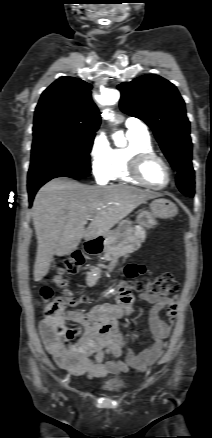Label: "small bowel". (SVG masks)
<instances>
[{"mask_svg":"<svg viewBox=\"0 0 212 438\" xmlns=\"http://www.w3.org/2000/svg\"><path fill=\"white\" fill-rule=\"evenodd\" d=\"M146 273L144 265L130 264L126 268L129 278L145 276ZM138 298L152 304L148 313L152 343L139 354L128 347L126 337L119 331V321L128 316L133 308L134 296L129 291L120 293L116 305L96 306L88 314L79 310L63 312L64 320L83 328L80 338L70 344L44 319L39 325L40 333L58 366L74 376L96 378L128 372L130 368L143 371L154 364L163 353L165 339L176 318L178 296L168 298L140 293ZM163 310H166L169 322L160 316ZM122 356H125V361ZM107 357L112 359L105 361Z\"/></svg>","mask_w":212,"mask_h":438,"instance_id":"1","label":"small bowel"}]
</instances>
